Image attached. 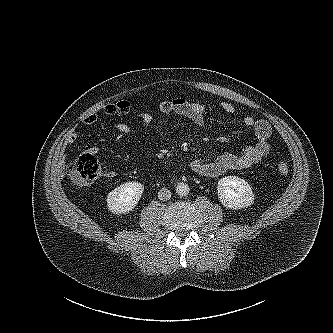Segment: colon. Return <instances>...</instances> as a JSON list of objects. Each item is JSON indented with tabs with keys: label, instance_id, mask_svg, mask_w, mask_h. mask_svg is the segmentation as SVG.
<instances>
[{
	"label": "colon",
	"instance_id": "1",
	"mask_svg": "<svg viewBox=\"0 0 333 333\" xmlns=\"http://www.w3.org/2000/svg\"><path fill=\"white\" fill-rule=\"evenodd\" d=\"M277 169L281 175L289 172V167L282 157H278ZM67 175L71 185L75 187H87L92 185L101 174V167L97 157L85 152L74 159L67 166Z\"/></svg>",
	"mask_w": 333,
	"mask_h": 333
}]
</instances>
